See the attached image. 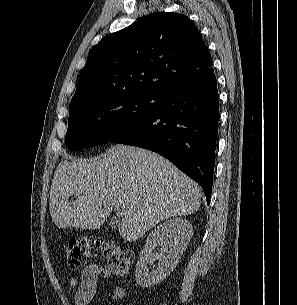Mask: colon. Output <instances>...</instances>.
I'll return each mask as SVG.
<instances>
[{"label": "colon", "instance_id": "obj_1", "mask_svg": "<svg viewBox=\"0 0 297 305\" xmlns=\"http://www.w3.org/2000/svg\"><path fill=\"white\" fill-rule=\"evenodd\" d=\"M94 250H103L112 275L125 276L131 271L132 253L119 243L95 235H84L69 241L66 256L71 268H80Z\"/></svg>", "mask_w": 297, "mask_h": 305}]
</instances>
